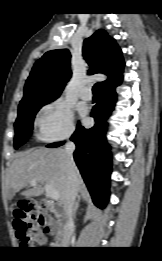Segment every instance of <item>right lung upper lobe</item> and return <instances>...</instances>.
Wrapping results in <instances>:
<instances>
[{
	"mask_svg": "<svg viewBox=\"0 0 162 261\" xmlns=\"http://www.w3.org/2000/svg\"><path fill=\"white\" fill-rule=\"evenodd\" d=\"M83 57L89 65L88 74L103 73L108 78L101 82L102 91L114 89L122 82L124 60L116 41L103 29L97 30L83 43ZM70 52L57 49L46 52L34 64L28 77L22 100L36 96L58 97L70 78ZM21 100V101H22Z\"/></svg>",
	"mask_w": 162,
	"mask_h": 261,
	"instance_id": "right-lung-upper-lobe-1",
	"label": "right lung upper lobe"
}]
</instances>
